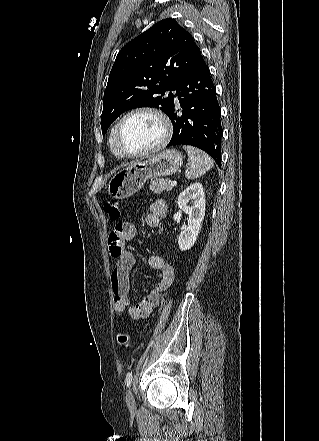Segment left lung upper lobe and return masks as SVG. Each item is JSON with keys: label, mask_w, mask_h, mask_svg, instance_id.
I'll use <instances>...</instances> for the list:
<instances>
[{"label": "left lung upper lobe", "mask_w": 319, "mask_h": 441, "mask_svg": "<svg viewBox=\"0 0 319 441\" xmlns=\"http://www.w3.org/2000/svg\"><path fill=\"white\" fill-rule=\"evenodd\" d=\"M200 56L190 33L171 18L128 42L116 57L104 92L102 133L133 108L156 107L169 116L174 105L171 91Z\"/></svg>", "instance_id": "5c2ea615"}]
</instances>
